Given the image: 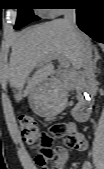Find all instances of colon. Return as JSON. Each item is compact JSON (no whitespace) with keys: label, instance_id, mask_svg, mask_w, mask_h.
I'll list each match as a JSON object with an SVG mask.
<instances>
[{"label":"colon","instance_id":"obj_1","mask_svg":"<svg viewBox=\"0 0 104 169\" xmlns=\"http://www.w3.org/2000/svg\"><path fill=\"white\" fill-rule=\"evenodd\" d=\"M19 131L22 139L38 151L35 158L40 169H56L57 153L51 148L55 139H67V144L74 146L76 132L67 123H57L45 131H40L37 120L30 115L19 118Z\"/></svg>","mask_w":104,"mask_h":169}]
</instances>
